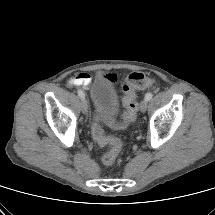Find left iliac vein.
<instances>
[{"label": "left iliac vein", "mask_w": 215, "mask_h": 215, "mask_svg": "<svg viewBox=\"0 0 215 215\" xmlns=\"http://www.w3.org/2000/svg\"><path fill=\"white\" fill-rule=\"evenodd\" d=\"M148 101L146 99L142 100L140 103V110L141 112H145L147 110Z\"/></svg>", "instance_id": "left-iliac-vein-1"}]
</instances>
